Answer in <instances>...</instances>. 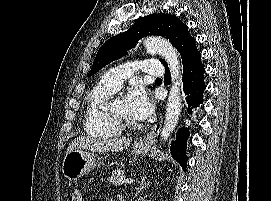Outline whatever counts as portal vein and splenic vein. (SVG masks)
<instances>
[{
	"label": "portal vein and splenic vein",
	"instance_id": "obj_1",
	"mask_svg": "<svg viewBox=\"0 0 271 201\" xmlns=\"http://www.w3.org/2000/svg\"><path fill=\"white\" fill-rule=\"evenodd\" d=\"M123 182L127 184H131L133 183V179H124Z\"/></svg>",
	"mask_w": 271,
	"mask_h": 201
}]
</instances>
